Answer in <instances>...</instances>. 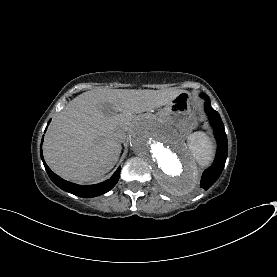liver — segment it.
Returning a JSON list of instances; mask_svg holds the SVG:
<instances>
[{
    "label": "liver",
    "instance_id": "6515ba94",
    "mask_svg": "<svg viewBox=\"0 0 277 277\" xmlns=\"http://www.w3.org/2000/svg\"><path fill=\"white\" fill-rule=\"evenodd\" d=\"M179 92L110 89L78 95L49 127L43 145L45 161L72 182L96 180L118 161L133 114L170 104Z\"/></svg>",
    "mask_w": 277,
    "mask_h": 277
}]
</instances>
